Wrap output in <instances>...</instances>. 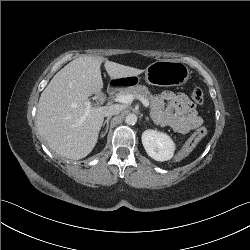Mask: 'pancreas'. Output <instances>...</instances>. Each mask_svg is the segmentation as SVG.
<instances>
[{"label":"pancreas","instance_id":"1","mask_svg":"<svg viewBox=\"0 0 250 250\" xmlns=\"http://www.w3.org/2000/svg\"><path fill=\"white\" fill-rule=\"evenodd\" d=\"M127 94L133 95L135 96V98H137L138 96H142L147 100L153 99L152 94L149 92L148 88L144 85H136L133 87L124 88L120 90L118 93V95H127Z\"/></svg>","mask_w":250,"mask_h":250}]
</instances>
